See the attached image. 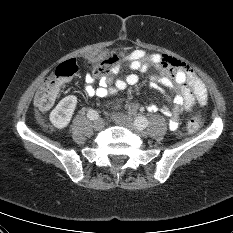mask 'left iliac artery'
Listing matches in <instances>:
<instances>
[{
  "label": "left iliac artery",
  "instance_id": "obj_1",
  "mask_svg": "<svg viewBox=\"0 0 233 233\" xmlns=\"http://www.w3.org/2000/svg\"><path fill=\"white\" fill-rule=\"evenodd\" d=\"M135 124L141 128V129H144L148 126L149 122L148 120L145 118V117H142V116H138L136 117L135 119Z\"/></svg>",
  "mask_w": 233,
  "mask_h": 233
}]
</instances>
